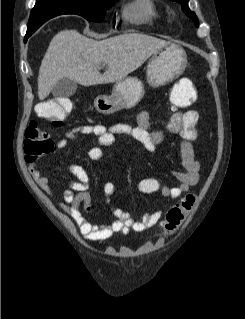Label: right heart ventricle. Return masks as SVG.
Instances as JSON below:
<instances>
[{
	"instance_id": "1",
	"label": "right heart ventricle",
	"mask_w": 245,
	"mask_h": 319,
	"mask_svg": "<svg viewBox=\"0 0 245 319\" xmlns=\"http://www.w3.org/2000/svg\"><path fill=\"white\" fill-rule=\"evenodd\" d=\"M161 16L155 0H131L122 11L124 20L134 24L154 25Z\"/></svg>"
}]
</instances>
